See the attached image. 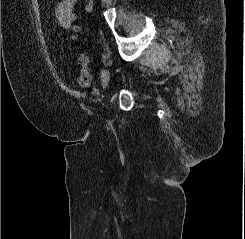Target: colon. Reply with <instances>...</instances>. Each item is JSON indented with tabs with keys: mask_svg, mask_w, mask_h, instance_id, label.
<instances>
[{
	"mask_svg": "<svg viewBox=\"0 0 245 239\" xmlns=\"http://www.w3.org/2000/svg\"><path fill=\"white\" fill-rule=\"evenodd\" d=\"M77 61L80 67L78 75V84L81 87H89L92 83V74L89 67V59L86 53L78 54Z\"/></svg>",
	"mask_w": 245,
	"mask_h": 239,
	"instance_id": "colon-1",
	"label": "colon"
}]
</instances>
